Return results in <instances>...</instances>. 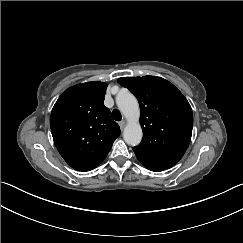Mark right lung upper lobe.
Returning <instances> with one entry per match:
<instances>
[{"label":"right lung upper lobe","mask_w":243,"mask_h":243,"mask_svg":"<svg viewBox=\"0 0 243 243\" xmlns=\"http://www.w3.org/2000/svg\"><path fill=\"white\" fill-rule=\"evenodd\" d=\"M106 88L100 81L74 85L61 94L52 109L55 146L75 170L96 168L120 135L119 125L104 106Z\"/></svg>","instance_id":"cb5924a9"}]
</instances>
